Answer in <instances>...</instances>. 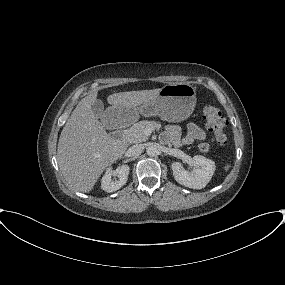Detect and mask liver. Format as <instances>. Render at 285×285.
<instances>
[{"instance_id":"obj_1","label":"liver","mask_w":285,"mask_h":285,"mask_svg":"<svg viewBox=\"0 0 285 285\" xmlns=\"http://www.w3.org/2000/svg\"><path fill=\"white\" fill-rule=\"evenodd\" d=\"M160 88L119 92L109 95L107 102L121 108H135L155 98ZM97 92L81 99L61 132L57 161L67 183L75 190L91 191L103 171L120 159L127 146L124 141L107 134L93 114L91 105Z\"/></svg>"}]
</instances>
